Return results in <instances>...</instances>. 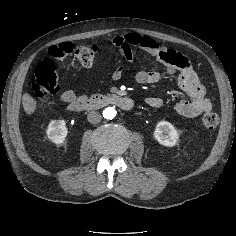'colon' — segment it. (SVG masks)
Returning <instances> with one entry per match:
<instances>
[{"label":"colon","instance_id":"colon-1","mask_svg":"<svg viewBox=\"0 0 236 236\" xmlns=\"http://www.w3.org/2000/svg\"><path fill=\"white\" fill-rule=\"evenodd\" d=\"M75 51V56L81 65L88 67L92 65L97 47L94 45L80 46L74 49L72 43H60L49 49L50 56L58 61L64 60ZM60 83L56 73L55 64L50 59L41 61L35 69V78L32 83V92L37 98H43L59 91ZM203 125L208 129H214L219 123V117L214 112H207L202 117Z\"/></svg>","mask_w":236,"mask_h":236}]
</instances>
